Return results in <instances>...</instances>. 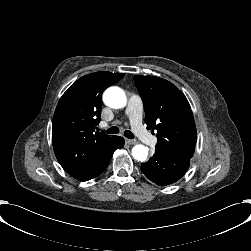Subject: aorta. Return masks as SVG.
<instances>
[{
    "label": "aorta",
    "instance_id": "1",
    "mask_svg": "<svg viewBox=\"0 0 251 251\" xmlns=\"http://www.w3.org/2000/svg\"><path fill=\"white\" fill-rule=\"evenodd\" d=\"M103 101L107 106L119 109L126 106L127 98L121 88L112 86L104 91ZM132 156L135 160L144 162L148 156V148L142 144H137L132 148Z\"/></svg>",
    "mask_w": 251,
    "mask_h": 251
}]
</instances>
